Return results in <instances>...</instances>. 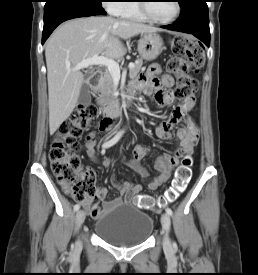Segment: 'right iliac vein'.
I'll return each instance as SVG.
<instances>
[{
    "instance_id": "right-iliac-vein-1",
    "label": "right iliac vein",
    "mask_w": 258,
    "mask_h": 275,
    "mask_svg": "<svg viewBox=\"0 0 258 275\" xmlns=\"http://www.w3.org/2000/svg\"><path fill=\"white\" fill-rule=\"evenodd\" d=\"M85 216L86 215H85V212L83 210H79L76 213V223H77L78 227H80L83 224V222L85 220ZM77 244H78V246H80L81 241L79 240Z\"/></svg>"
}]
</instances>
